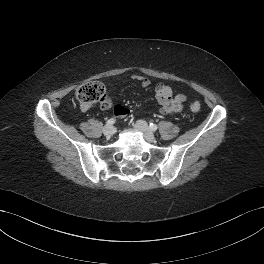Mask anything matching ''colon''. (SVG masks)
<instances>
[{"instance_id":"colon-1","label":"colon","mask_w":264,"mask_h":264,"mask_svg":"<svg viewBox=\"0 0 264 264\" xmlns=\"http://www.w3.org/2000/svg\"><path fill=\"white\" fill-rule=\"evenodd\" d=\"M106 95L107 91L105 86L98 81L87 82L78 87L75 91V97L81 106H91L98 101H102ZM200 108L201 106L197 101L190 105V109L193 112L200 111Z\"/></svg>"}]
</instances>
